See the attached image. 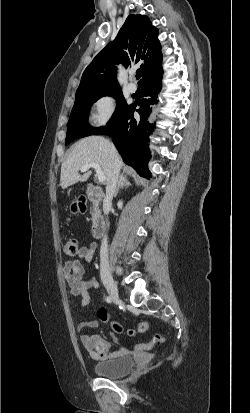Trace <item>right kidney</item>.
I'll list each match as a JSON object with an SVG mask.
<instances>
[{
  "label": "right kidney",
  "mask_w": 250,
  "mask_h": 413,
  "mask_svg": "<svg viewBox=\"0 0 250 413\" xmlns=\"http://www.w3.org/2000/svg\"><path fill=\"white\" fill-rule=\"evenodd\" d=\"M117 205H118V208H119V209H122L123 202H122V201H119Z\"/></svg>",
  "instance_id": "obj_1"
}]
</instances>
